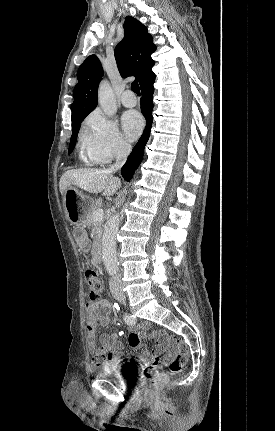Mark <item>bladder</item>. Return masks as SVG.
I'll return each instance as SVG.
<instances>
[{"label":"bladder","mask_w":275,"mask_h":431,"mask_svg":"<svg viewBox=\"0 0 275 431\" xmlns=\"http://www.w3.org/2000/svg\"><path fill=\"white\" fill-rule=\"evenodd\" d=\"M131 369V365L128 363H111L104 366L101 371V375L113 376L120 382H127V371Z\"/></svg>","instance_id":"1"}]
</instances>
